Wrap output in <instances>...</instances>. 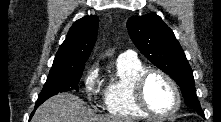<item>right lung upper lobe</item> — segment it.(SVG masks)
<instances>
[{"label": "right lung upper lobe", "mask_w": 221, "mask_h": 122, "mask_svg": "<svg viewBox=\"0 0 221 122\" xmlns=\"http://www.w3.org/2000/svg\"><path fill=\"white\" fill-rule=\"evenodd\" d=\"M97 31V16H85L77 20L70 27L52 66L76 67L85 65L96 42Z\"/></svg>", "instance_id": "obj_1"}]
</instances>
